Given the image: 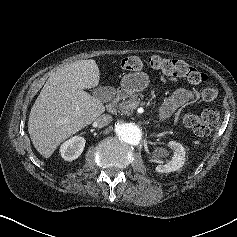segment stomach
I'll return each mask as SVG.
<instances>
[{
  "label": "stomach",
  "instance_id": "1",
  "mask_svg": "<svg viewBox=\"0 0 237 237\" xmlns=\"http://www.w3.org/2000/svg\"><path fill=\"white\" fill-rule=\"evenodd\" d=\"M147 85L148 76L143 72L129 73L121 80V86L128 95L144 90Z\"/></svg>",
  "mask_w": 237,
  "mask_h": 237
}]
</instances>
